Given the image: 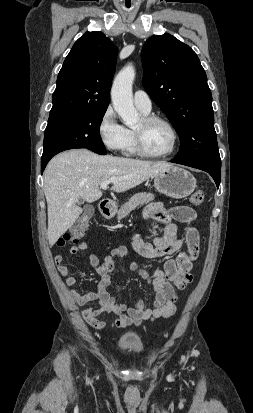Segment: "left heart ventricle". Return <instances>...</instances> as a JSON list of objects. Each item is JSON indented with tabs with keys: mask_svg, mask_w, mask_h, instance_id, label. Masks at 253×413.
<instances>
[{
	"mask_svg": "<svg viewBox=\"0 0 253 413\" xmlns=\"http://www.w3.org/2000/svg\"><path fill=\"white\" fill-rule=\"evenodd\" d=\"M134 129L143 133L147 149L153 153H163L170 149L173 136L170 129L161 122L144 124L141 119Z\"/></svg>",
	"mask_w": 253,
	"mask_h": 413,
	"instance_id": "1",
	"label": "left heart ventricle"
}]
</instances>
